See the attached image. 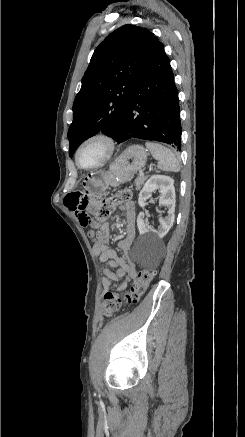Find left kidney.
<instances>
[{
    "label": "left kidney",
    "instance_id": "left-kidney-1",
    "mask_svg": "<svg viewBox=\"0 0 245 437\" xmlns=\"http://www.w3.org/2000/svg\"><path fill=\"white\" fill-rule=\"evenodd\" d=\"M159 190L161 196L159 198V206L167 209V216L165 218L159 217L157 230H148L145 224V213L140 212L137 217V226L140 235H148L153 239L163 238L171 229L175 219V188L173 178L165 175H153L145 183L143 189L139 194L138 204L143 209L146 205V200L150 198L151 193Z\"/></svg>",
    "mask_w": 245,
    "mask_h": 437
}]
</instances>
